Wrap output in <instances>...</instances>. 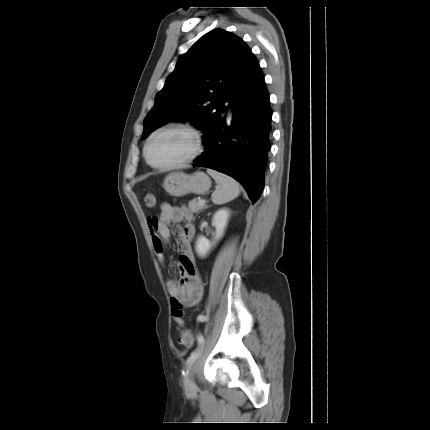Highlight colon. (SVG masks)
Here are the masks:
<instances>
[{
    "mask_svg": "<svg viewBox=\"0 0 430 430\" xmlns=\"http://www.w3.org/2000/svg\"><path fill=\"white\" fill-rule=\"evenodd\" d=\"M145 204L147 207L152 208L156 204V197L153 193H147L145 195ZM197 338V334L185 329L181 332L180 342L187 348H191Z\"/></svg>",
    "mask_w": 430,
    "mask_h": 430,
    "instance_id": "1",
    "label": "colon"
}]
</instances>
